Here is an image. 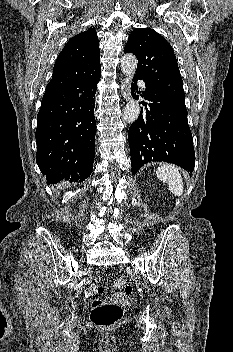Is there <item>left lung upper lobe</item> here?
Here are the masks:
<instances>
[{"label":"left lung upper lobe","instance_id":"left-lung-upper-lobe-1","mask_svg":"<svg viewBox=\"0 0 233 352\" xmlns=\"http://www.w3.org/2000/svg\"><path fill=\"white\" fill-rule=\"evenodd\" d=\"M124 53L136 56V77L172 98L185 102L183 81L174 50L163 36L151 28L135 29L128 38Z\"/></svg>","mask_w":233,"mask_h":352}]
</instances>
